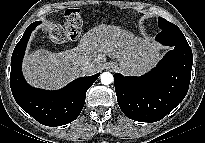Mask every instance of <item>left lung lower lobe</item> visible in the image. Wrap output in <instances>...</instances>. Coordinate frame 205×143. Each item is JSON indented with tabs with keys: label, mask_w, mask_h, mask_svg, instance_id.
I'll return each instance as SVG.
<instances>
[{
	"label": "left lung lower lobe",
	"mask_w": 205,
	"mask_h": 143,
	"mask_svg": "<svg viewBox=\"0 0 205 143\" xmlns=\"http://www.w3.org/2000/svg\"><path fill=\"white\" fill-rule=\"evenodd\" d=\"M156 40L174 49L154 69L141 77L114 75L120 109L139 122L164 118L184 99L189 88L193 56L181 30H161Z\"/></svg>",
	"instance_id": "obj_1"
}]
</instances>
